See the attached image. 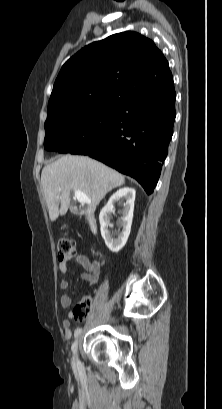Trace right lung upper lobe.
I'll use <instances>...</instances> for the list:
<instances>
[{
    "label": "right lung upper lobe",
    "instance_id": "1",
    "mask_svg": "<svg viewBox=\"0 0 222 409\" xmlns=\"http://www.w3.org/2000/svg\"><path fill=\"white\" fill-rule=\"evenodd\" d=\"M169 64L154 42L126 31L93 42L61 68L48 113L73 104L123 103L166 92Z\"/></svg>",
    "mask_w": 222,
    "mask_h": 409
}]
</instances>
